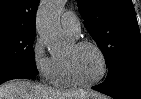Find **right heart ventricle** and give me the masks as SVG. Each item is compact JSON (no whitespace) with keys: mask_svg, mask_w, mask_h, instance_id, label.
Returning a JSON list of instances; mask_svg holds the SVG:
<instances>
[{"mask_svg":"<svg viewBox=\"0 0 141 99\" xmlns=\"http://www.w3.org/2000/svg\"><path fill=\"white\" fill-rule=\"evenodd\" d=\"M51 82L53 85L61 88L73 85L68 74L65 59L55 58V74Z\"/></svg>","mask_w":141,"mask_h":99,"instance_id":"e07e8e85","label":"right heart ventricle"}]
</instances>
